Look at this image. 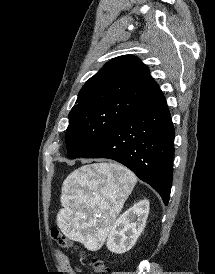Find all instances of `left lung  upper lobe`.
Returning <instances> with one entry per match:
<instances>
[{
    "mask_svg": "<svg viewBox=\"0 0 215 274\" xmlns=\"http://www.w3.org/2000/svg\"><path fill=\"white\" fill-rule=\"evenodd\" d=\"M161 95L148 67L137 57L124 55L106 63L82 87L69 113V157L84 156L120 122Z\"/></svg>",
    "mask_w": 215,
    "mask_h": 274,
    "instance_id": "obj_1",
    "label": "left lung upper lobe"
}]
</instances>
